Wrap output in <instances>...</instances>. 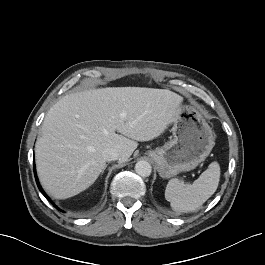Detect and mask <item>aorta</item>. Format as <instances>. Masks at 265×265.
<instances>
[{
    "label": "aorta",
    "mask_w": 265,
    "mask_h": 265,
    "mask_svg": "<svg viewBox=\"0 0 265 265\" xmlns=\"http://www.w3.org/2000/svg\"><path fill=\"white\" fill-rule=\"evenodd\" d=\"M135 172L141 177H148L152 172V167L149 162L141 160L136 163Z\"/></svg>",
    "instance_id": "1"
}]
</instances>
